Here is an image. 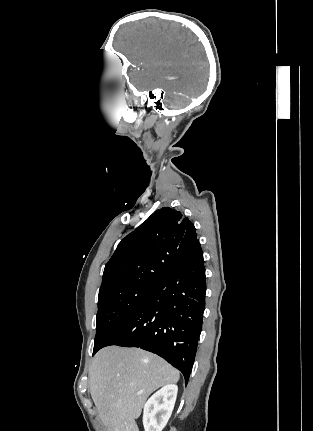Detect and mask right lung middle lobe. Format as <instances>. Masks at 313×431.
Here are the masks:
<instances>
[{
  "instance_id": "obj_1",
  "label": "right lung middle lobe",
  "mask_w": 313,
  "mask_h": 431,
  "mask_svg": "<svg viewBox=\"0 0 313 431\" xmlns=\"http://www.w3.org/2000/svg\"><path fill=\"white\" fill-rule=\"evenodd\" d=\"M156 286L134 287L103 294L98 298L93 355L147 299Z\"/></svg>"
}]
</instances>
